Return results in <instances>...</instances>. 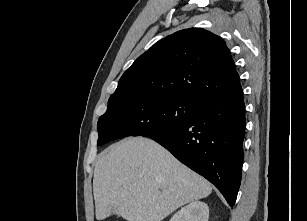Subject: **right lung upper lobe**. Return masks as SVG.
<instances>
[{
	"instance_id": "right-lung-upper-lobe-1",
	"label": "right lung upper lobe",
	"mask_w": 307,
	"mask_h": 221,
	"mask_svg": "<svg viewBox=\"0 0 307 221\" xmlns=\"http://www.w3.org/2000/svg\"><path fill=\"white\" fill-rule=\"evenodd\" d=\"M242 91L225 42L202 28L178 31L158 41L125 71L108 103L160 95L202 105Z\"/></svg>"
}]
</instances>
